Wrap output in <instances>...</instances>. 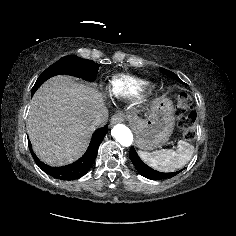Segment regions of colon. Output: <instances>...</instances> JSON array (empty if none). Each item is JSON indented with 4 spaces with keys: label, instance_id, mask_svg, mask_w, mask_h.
Listing matches in <instances>:
<instances>
[{
    "label": "colon",
    "instance_id": "5ec220e1",
    "mask_svg": "<svg viewBox=\"0 0 236 236\" xmlns=\"http://www.w3.org/2000/svg\"><path fill=\"white\" fill-rule=\"evenodd\" d=\"M192 100L186 92H181L178 96L176 112L178 115L179 127L182 130L183 136L192 140L195 137L194 123L196 115L191 111Z\"/></svg>",
    "mask_w": 236,
    "mask_h": 236
}]
</instances>
